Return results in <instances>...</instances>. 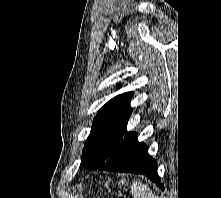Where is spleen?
Returning a JSON list of instances; mask_svg holds the SVG:
<instances>
[{
	"instance_id": "spleen-1",
	"label": "spleen",
	"mask_w": 221,
	"mask_h": 198,
	"mask_svg": "<svg viewBox=\"0 0 221 198\" xmlns=\"http://www.w3.org/2000/svg\"><path fill=\"white\" fill-rule=\"evenodd\" d=\"M134 198H158L149 187L141 182H134L131 186Z\"/></svg>"
}]
</instances>
